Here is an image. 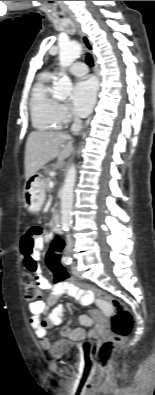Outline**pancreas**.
<instances>
[{
	"instance_id": "pancreas-1",
	"label": "pancreas",
	"mask_w": 155,
	"mask_h": 395,
	"mask_svg": "<svg viewBox=\"0 0 155 395\" xmlns=\"http://www.w3.org/2000/svg\"><path fill=\"white\" fill-rule=\"evenodd\" d=\"M51 181V178L50 177H47V178H45L44 179V187H45V190L46 191H50V187H49V182Z\"/></svg>"
}]
</instances>
